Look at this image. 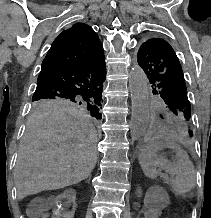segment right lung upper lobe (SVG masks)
Wrapping results in <instances>:
<instances>
[{"mask_svg":"<svg viewBox=\"0 0 211 218\" xmlns=\"http://www.w3.org/2000/svg\"><path fill=\"white\" fill-rule=\"evenodd\" d=\"M103 56V47L95 31L86 24H75L54 40L43 60L38 80L64 68L98 60Z\"/></svg>","mask_w":211,"mask_h":218,"instance_id":"cb5924a9","label":"right lung upper lobe"}]
</instances>
